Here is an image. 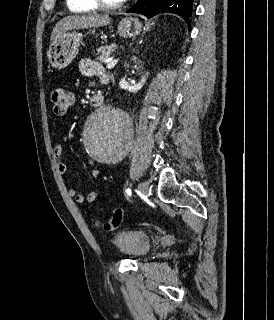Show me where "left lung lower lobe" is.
Instances as JSON below:
<instances>
[{"label": "left lung lower lobe", "mask_w": 274, "mask_h": 320, "mask_svg": "<svg viewBox=\"0 0 274 320\" xmlns=\"http://www.w3.org/2000/svg\"><path fill=\"white\" fill-rule=\"evenodd\" d=\"M193 0H138L127 12L139 13L151 18L161 12L174 13L184 18L189 26L193 12Z\"/></svg>", "instance_id": "0a47b994"}]
</instances>
